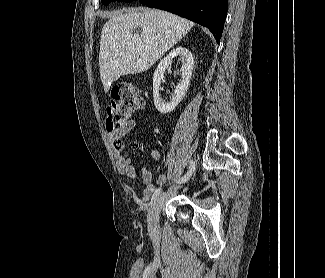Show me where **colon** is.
I'll return each mask as SVG.
<instances>
[{
    "mask_svg": "<svg viewBox=\"0 0 325 278\" xmlns=\"http://www.w3.org/2000/svg\"><path fill=\"white\" fill-rule=\"evenodd\" d=\"M145 107L138 89L132 85H119L111 91V102L106 108L107 131H115L128 122L132 115Z\"/></svg>",
    "mask_w": 325,
    "mask_h": 278,
    "instance_id": "1",
    "label": "colon"
}]
</instances>
